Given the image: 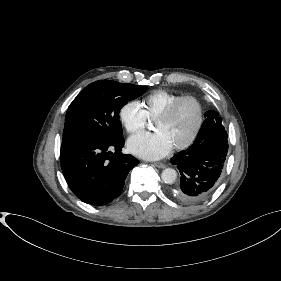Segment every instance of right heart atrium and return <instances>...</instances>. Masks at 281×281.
<instances>
[{"instance_id": "d8ad5b80", "label": "right heart atrium", "mask_w": 281, "mask_h": 281, "mask_svg": "<svg viewBox=\"0 0 281 281\" xmlns=\"http://www.w3.org/2000/svg\"><path fill=\"white\" fill-rule=\"evenodd\" d=\"M118 118L122 126L130 134L140 132L146 126L147 117L137 101L124 103L119 111Z\"/></svg>"}]
</instances>
